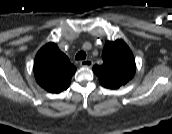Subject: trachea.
Listing matches in <instances>:
<instances>
[{
	"label": "trachea",
	"instance_id": "obj_1",
	"mask_svg": "<svg viewBox=\"0 0 172 134\" xmlns=\"http://www.w3.org/2000/svg\"><path fill=\"white\" fill-rule=\"evenodd\" d=\"M76 60H85L86 59V53L84 51H80L76 54Z\"/></svg>",
	"mask_w": 172,
	"mask_h": 134
}]
</instances>
